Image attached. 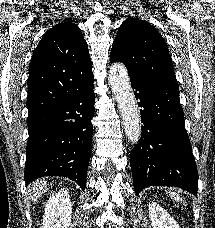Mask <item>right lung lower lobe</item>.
<instances>
[{
  "label": "right lung lower lobe",
  "instance_id": "obj_1",
  "mask_svg": "<svg viewBox=\"0 0 215 228\" xmlns=\"http://www.w3.org/2000/svg\"><path fill=\"white\" fill-rule=\"evenodd\" d=\"M93 82L92 74L70 84L62 102L27 120L26 186L40 177L63 176L85 189L91 157Z\"/></svg>",
  "mask_w": 215,
  "mask_h": 228
}]
</instances>
